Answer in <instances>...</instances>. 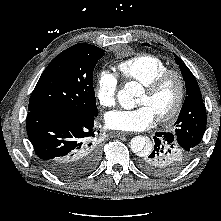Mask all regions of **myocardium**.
Masks as SVG:
<instances>
[{
	"label": "myocardium",
	"mask_w": 221,
	"mask_h": 221,
	"mask_svg": "<svg viewBox=\"0 0 221 221\" xmlns=\"http://www.w3.org/2000/svg\"><path fill=\"white\" fill-rule=\"evenodd\" d=\"M174 79L177 83L178 92L176 100L173 104V106L168 110L166 113L161 114L157 116V120L159 122H168L172 119H174L179 112L181 111L185 98H186V83L184 80L183 75L176 69H167L158 76H156L153 80H151L149 83L143 85L144 90L154 95L156 94L164 85L165 83L170 80Z\"/></svg>",
	"instance_id": "myocardium-1"
}]
</instances>
